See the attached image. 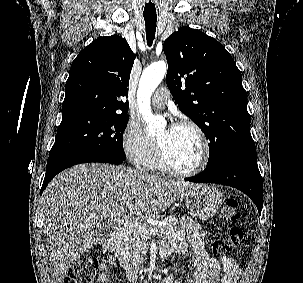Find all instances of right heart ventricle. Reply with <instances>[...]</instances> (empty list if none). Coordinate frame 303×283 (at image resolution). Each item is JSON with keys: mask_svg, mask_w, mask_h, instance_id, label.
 <instances>
[{"mask_svg": "<svg viewBox=\"0 0 303 283\" xmlns=\"http://www.w3.org/2000/svg\"><path fill=\"white\" fill-rule=\"evenodd\" d=\"M157 160H156V157L155 156H153L152 158H151V160L145 165V167L147 168V169H155V168H157Z\"/></svg>", "mask_w": 303, "mask_h": 283, "instance_id": "obj_1", "label": "right heart ventricle"}]
</instances>
